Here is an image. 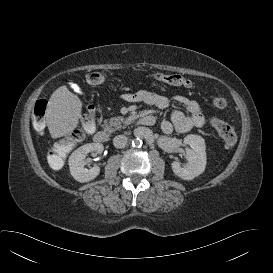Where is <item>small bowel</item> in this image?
Segmentation results:
<instances>
[{"mask_svg":"<svg viewBox=\"0 0 273 273\" xmlns=\"http://www.w3.org/2000/svg\"><path fill=\"white\" fill-rule=\"evenodd\" d=\"M71 87L75 92L81 93V88L77 84L72 83ZM123 98L128 102H140L159 108L167 107L169 104L166 96L147 90L125 94ZM174 99L186 108L187 113L176 109L172 112L170 120H163L161 130L164 134L171 135L174 131L185 133L205 124V117L198 102L181 95L175 96Z\"/></svg>","mask_w":273,"mask_h":273,"instance_id":"small-bowel-1","label":"small bowel"}]
</instances>
